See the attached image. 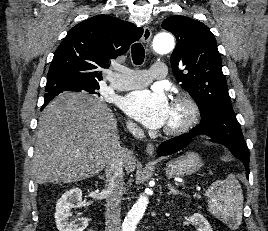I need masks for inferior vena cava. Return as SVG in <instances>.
<instances>
[{
  "label": "inferior vena cava",
  "mask_w": 268,
  "mask_h": 231,
  "mask_svg": "<svg viewBox=\"0 0 268 231\" xmlns=\"http://www.w3.org/2000/svg\"><path fill=\"white\" fill-rule=\"evenodd\" d=\"M127 128L135 137L142 136V130L133 123H128ZM133 152L122 149L114 153L105 166L106 172V209H105V231H121V198L123 179V167L125 162L134 161Z\"/></svg>",
  "instance_id": "inferior-vena-cava-1"
}]
</instances>
